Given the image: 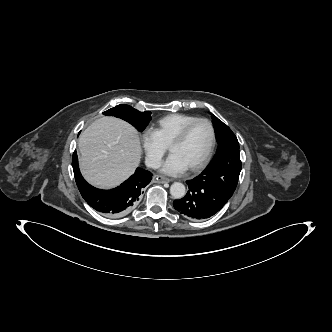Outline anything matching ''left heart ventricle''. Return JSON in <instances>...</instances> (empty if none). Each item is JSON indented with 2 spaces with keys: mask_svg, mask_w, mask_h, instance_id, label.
Returning <instances> with one entry per match:
<instances>
[{
  "mask_svg": "<svg viewBox=\"0 0 332 332\" xmlns=\"http://www.w3.org/2000/svg\"><path fill=\"white\" fill-rule=\"evenodd\" d=\"M210 142L211 129L209 125L205 122H199L191 127L184 141L174 146L170 152L178 156L189 168L202 158Z\"/></svg>",
  "mask_w": 332,
  "mask_h": 332,
  "instance_id": "obj_1",
  "label": "left heart ventricle"
}]
</instances>
